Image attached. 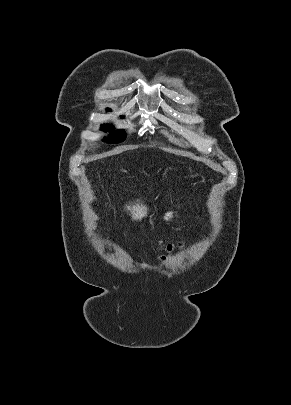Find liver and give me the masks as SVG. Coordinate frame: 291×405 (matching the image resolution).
<instances>
[{"instance_id": "liver-1", "label": "liver", "mask_w": 291, "mask_h": 405, "mask_svg": "<svg viewBox=\"0 0 291 405\" xmlns=\"http://www.w3.org/2000/svg\"><path fill=\"white\" fill-rule=\"evenodd\" d=\"M127 210L130 211L132 219L141 220L147 215V207L143 204L136 203L135 205L126 206Z\"/></svg>"}]
</instances>
